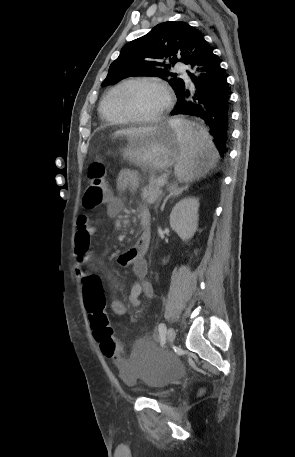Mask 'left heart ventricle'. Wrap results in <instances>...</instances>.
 Listing matches in <instances>:
<instances>
[{
  "instance_id": "b2bd125f",
  "label": "left heart ventricle",
  "mask_w": 295,
  "mask_h": 457,
  "mask_svg": "<svg viewBox=\"0 0 295 457\" xmlns=\"http://www.w3.org/2000/svg\"><path fill=\"white\" fill-rule=\"evenodd\" d=\"M132 111L141 117H152L162 111L166 104L165 92L157 86H141L127 98Z\"/></svg>"
}]
</instances>
